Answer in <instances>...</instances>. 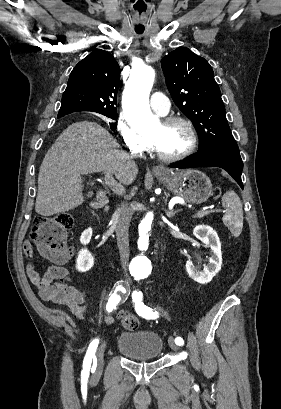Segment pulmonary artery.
Listing matches in <instances>:
<instances>
[{
    "instance_id": "pulmonary-artery-1",
    "label": "pulmonary artery",
    "mask_w": 281,
    "mask_h": 409,
    "mask_svg": "<svg viewBox=\"0 0 281 409\" xmlns=\"http://www.w3.org/2000/svg\"><path fill=\"white\" fill-rule=\"evenodd\" d=\"M153 97H149L147 105L151 106L152 111L164 115L167 112L168 105L170 104V99L164 97L165 93L163 90H154L152 93Z\"/></svg>"
}]
</instances>
